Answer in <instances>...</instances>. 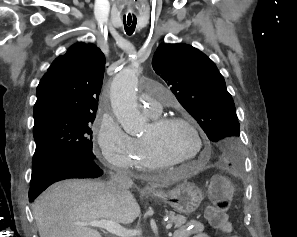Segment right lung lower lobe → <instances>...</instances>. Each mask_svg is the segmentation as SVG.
I'll return each mask as SVG.
<instances>
[{
  "label": "right lung lower lobe",
  "mask_w": 297,
  "mask_h": 237,
  "mask_svg": "<svg viewBox=\"0 0 297 237\" xmlns=\"http://www.w3.org/2000/svg\"><path fill=\"white\" fill-rule=\"evenodd\" d=\"M103 171L93 158L77 153H58L38 162L32 169L29 199L33 201L51 184L74 178H98Z\"/></svg>",
  "instance_id": "1"
}]
</instances>
